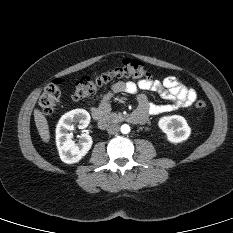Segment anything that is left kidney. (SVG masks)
<instances>
[{
  "label": "left kidney",
  "mask_w": 233,
  "mask_h": 233,
  "mask_svg": "<svg viewBox=\"0 0 233 233\" xmlns=\"http://www.w3.org/2000/svg\"><path fill=\"white\" fill-rule=\"evenodd\" d=\"M159 128L167 135L171 143H180L188 139L191 128L180 115L164 116L158 122Z\"/></svg>",
  "instance_id": "1"
}]
</instances>
